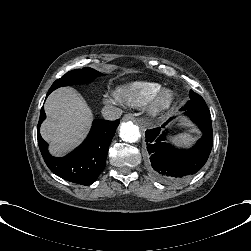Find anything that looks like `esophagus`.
Returning <instances> with one entry per match:
<instances>
[{"mask_svg":"<svg viewBox=\"0 0 251 251\" xmlns=\"http://www.w3.org/2000/svg\"><path fill=\"white\" fill-rule=\"evenodd\" d=\"M122 120L123 121H135V117L132 114H125Z\"/></svg>","mask_w":251,"mask_h":251,"instance_id":"1","label":"esophagus"}]
</instances>
